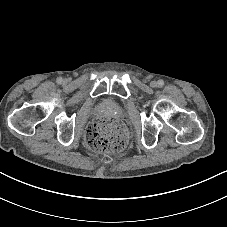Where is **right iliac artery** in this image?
Returning <instances> with one entry per match:
<instances>
[{"instance_id":"right-iliac-artery-1","label":"right iliac artery","mask_w":227,"mask_h":227,"mask_svg":"<svg viewBox=\"0 0 227 227\" xmlns=\"http://www.w3.org/2000/svg\"><path fill=\"white\" fill-rule=\"evenodd\" d=\"M62 81H63L62 77H58L57 80H56V82H57L58 84H61Z\"/></svg>"}]
</instances>
